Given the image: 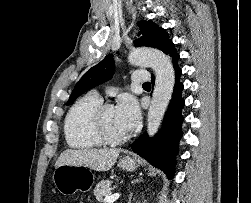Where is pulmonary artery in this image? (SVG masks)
<instances>
[{"label":"pulmonary artery","mask_w":251,"mask_h":203,"mask_svg":"<svg viewBox=\"0 0 251 203\" xmlns=\"http://www.w3.org/2000/svg\"><path fill=\"white\" fill-rule=\"evenodd\" d=\"M150 79V75L147 72L143 71H135L132 75V81L134 83H145L148 82ZM92 94L100 98V95L98 92L93 91Z\"/></svg>","instance_id":"obj_1"}]
</instances>
